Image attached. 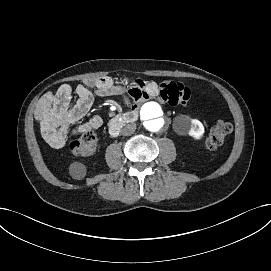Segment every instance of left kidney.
<instances>
[{
    "label": "left kidney",
    "mask_w": 271,
    "mask_h": 271,
    "mask_svg": "<svg viewBox=\"0 0 271 271\" xmlns=\"http://www.w3.org/2000/svg\"><path fill=\"white\" fill-rule=\"evenodd\" d=\"M189 133L195 137L200 136L203 133V126L197 120H190L188 123Z\"/></svg>",
    "instance_id": "left-kidney-1"
}]
</instances>
